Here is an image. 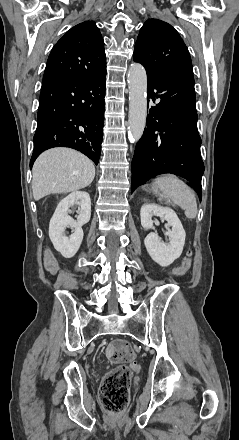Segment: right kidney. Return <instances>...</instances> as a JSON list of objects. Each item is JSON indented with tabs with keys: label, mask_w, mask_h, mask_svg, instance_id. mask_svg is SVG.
Listing matches in <instances>:
<instances>
[{
	"label": "right kidney",
	"mask_w": 239,
	"mask_h": 440,
	"mask_svg": "<svg viewBox=\"0 0 239 440\" xmlns=\"http://www.w3.org/2000/svg\"><path fill=\"white\" fill-rule=\"evenodd\" d=\"M77 210V220L68 216L70 208ZM91 216V200L87 192H72L59 202L49 224V238L58 253H73L75 256L83 240L82 226L89 222ZM65 228H74L71 236H65ZM72 256V258H73ZM69 258V255H66Z\"/></svg>",
	"instance_id": "right-kidney-1"
}]
</instances>
